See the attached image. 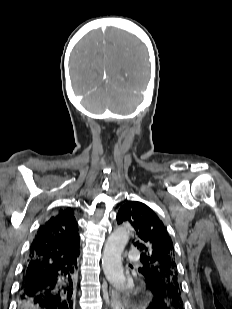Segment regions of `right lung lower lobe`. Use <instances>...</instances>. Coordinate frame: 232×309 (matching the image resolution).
Wrapping results in <instances>:
<instances>
[{
    "label": "right lung lower lobe",
    "mask_w": 232,
    "mask_h": 309,
    "mask_svg": "<svg viewBox=\"0 0 232 309\" xmlns=\"http://www.w3.org/2000/svg\"><path fill=\"white\" fill-rule=\"evenodd\" d=\"M77 257L54 260L40 268L28 261L19 289V309H73Z\"/></svg>",
    "instance_id": "right-lung-lower-lobe-1"
}]
</instances>
